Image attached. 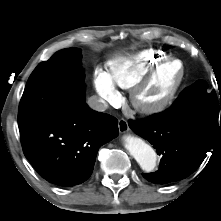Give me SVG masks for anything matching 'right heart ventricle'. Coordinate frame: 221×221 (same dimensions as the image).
I'll use <instances>...</instances> for the list:
<instances>
[{
  "mask_svg": "<svg viewBox=\"0 0 221 221\" xmlns=\"http://www.w3.org/2000/svg\"><path fill=\"white\" fill-rule=\"evenodd\" d=\"M166 58L167 54L155 49L143 50L130 57L115 58L107 63L109 76L115 85L130 89L155 64Z\"/></svg>",
  "mask_w": 221,
  "mask_h": 221,
  "instance_id": "1",
  "label": "right heart ventricle"
}]
</instances>
